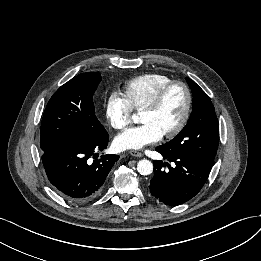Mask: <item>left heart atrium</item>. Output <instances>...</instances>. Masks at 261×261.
Returning <instances> with one entry per match:
<instances>
[{
    "mask_svg": "<svg viewBox=\"0 0 261 261\" xmlns=\"http://www.w3.org/2000/svg\"><path fill=\"white\" fill-rule=\"evenodd\" d=\"M162 136L154 125L143 123L119 134L115 139V145L121 150H137L159 141Z\"/></svg>",
    "mask_w": 261,
    "mask_h": 261,
    "instance_id": "39dd6f15",
    "label": "left heart atrium"
}]
</instances>
